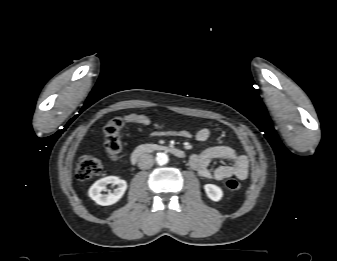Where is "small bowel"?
<instances>
[{
    "label": "small bowel",
    "instance_id": "c3829d8e",
    "mask_svg": "<svg viewBox=\"0 0 337 261\" xmlns=\"http://www.w3.org/2000/svg\"><path fill=\"white\" fill-rule=\"evenodd\" d=\"M126 122L149 125L150 119L144 115L128 114L125 116ZM162 132L153 131L152 136L162 135ZM177 135L184 138H195L199 142H204L210 137L208 128H200L196 132L179 131ZM215 159H227L232 162L231 165H221L215 169H210V163ZM190 167L195 170L199 176L206 179L224 180L230 177H237L240 180L247 178L249 173V161L245 154L238 153L235 149L225 145L213 146L204 151L192 154L189 158Z\"/></svg>",
    "mask_w": 337,
    "mask_h": 261
}]
</instances>
